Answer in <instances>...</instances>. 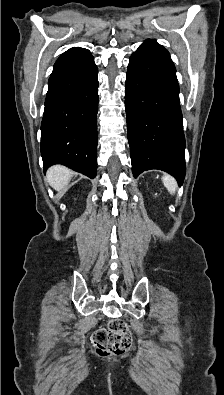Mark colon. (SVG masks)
I'll list each match as a JSON object with an SVG mask.
<instances>
[{"label":"colon","mask_w":224,"mask_h":395,"mask_svg":"<svg viewBox=\"0 0 224 395\" xmlns=\"http://www.w3.org/2000/svg\"><path fill=\"white\" fill-rule=\"evenodd\" d=\"M92 342L98 356L120 355L131 348L132 334L123 321L111 320L93 333Z\"/></svg>","instance_id":"1"}]
</instances>
